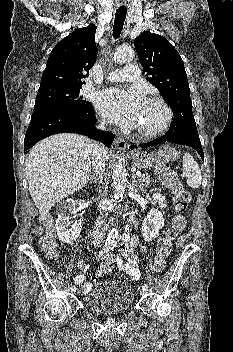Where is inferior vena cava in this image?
<instances>
[{
	"label": "inferior vena cava",
	"instance_id": "1",
	"mask_svg": "<svg viewBox=\"0 0 233 352\" xmlns=\"http://www.w3.org/2000/svg\"><path fill=\"white\" fill-rule=\"evenodd\" d=\"M106 125V121L102 120L100 122V125H98V128L105 129ZM92 168L94 170V176L101 183L103 180V172L105 171V158L103 155L102 148L98 143H95L94 145ZM102 223L103 217L100 216L97 219V225L92 233V242L96 245H99L104 239L105 229L102 227Z\"/></svg>",
	"mask_w": 233,
	"mask_h": 352
}]
</instances>
